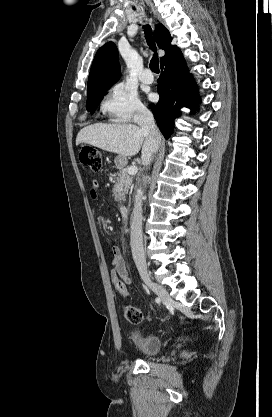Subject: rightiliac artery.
<instances>
[{
    "instance_id": "right-iliac-artery-1",
    "label": "right iliac artery",
    "mask_w": 272,
    "mask_h": 417,
    "mask_svg": "<svg viewBox=\"0 0 272 417\" xmlns=\"http://www.w3.org/2000/svg\"><path fill=\"white\" fill-rule=\"evenodd\" d=\"M155 302L159 303L160 302V299L159 298H156L155 299Z\"/></svg>"
}]
</instances>
